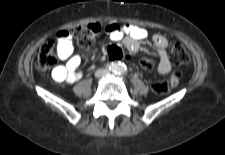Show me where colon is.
<instances>
[{
  "instance_id": "1",
  "label": "colon",
  "mask_w": 225,
  "mask_h": 155,
  "mask_svg": "<svg viewBox=\"0 0 225 155\" xmlns=\"http://www.w3.org/2000/svg\"><path fill=\"white\" fill-rule=\"evenodd\" d=\"M108 29L109 28L106 26V32ZM101 30L102 27L99 23L79 25L70 30L71 38H74L80 47H88L93 43ZM106 53L112 60L124 58V53L115 43L107 45ZM170 58L174 65H181L189 60V55L185 47L180 42L175 41L171 44ZM56 61V44L55 41L51 39L41 46L37 56L36 66L38 70L46 71L54 66ZM141 66L145 70H150L154 66V61L150 57H145L141 61ZM180 76L181 73L179 71H174L168 79L156 81L152 86L153 91L158 95L167 94L178 84Z\"/></svg>"
}]
</instances>
